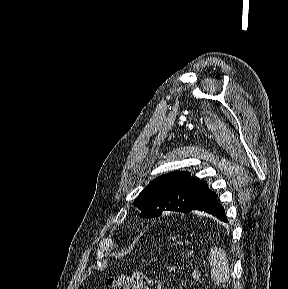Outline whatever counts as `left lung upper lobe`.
I'll use <instances>...</instances> for the list:
<instances>
[{
	"mask_svg": "<svg viewBox=\"0 0 288 289\" xmlns=\"http://www.w3.org/2000/svg\"><path fill=\"white\" fill-rule=\"evenodd\" d=\"M209 191L206 181L187 171H174L152 180L134 205L145 218L161 216L166 210L188 213Z\"/></svg>",
	"mask_w": 288,
	"mask_h": 289,
	"instance_id": "1",
	"label": "left lung upper lobe"
}]
</instances>
